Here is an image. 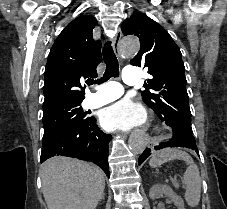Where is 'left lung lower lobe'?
<instances>
[{
	"mask_svg": "<svg viewBox=\"0 0 227 209\" xmlns=\"http://www.w3.org/2000/svg\"><path fill=\"white\" fill-rule=\"evenodd\" d=\"M166 147H185L190 148L196 151V153L199 155L195 139H193L190 136H187L180 131L173 129V137L171 140H169L166 143H160L158 146H155V150H160L162 148ZM151 149L147 148L143 152V154L139 157V165L143 163V161L150 155Z\"/></svg>",
	"mask_w": 227,
	"mask_h": 209,
	"instance_id": "left-lung-lower-lobe-1",
	"label": "left lung lower lobe"
}]
</instances>
